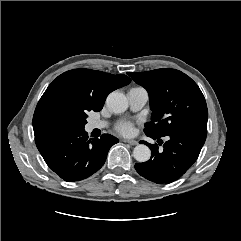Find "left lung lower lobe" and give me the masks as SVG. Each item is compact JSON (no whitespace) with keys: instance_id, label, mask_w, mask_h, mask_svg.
I'll list each match as a JSON object with an SVG mask.
<instances>
[{"instance_id":"1","label":"left lung lower lobe","mask_w":241,"mask_h":241,"mask_svg":"<svg viewBox=\"0 0 241 241\" xmlns=\"http://www.w3.org/2000/svg\"><path fill=\"white\" fill-rule=\"evenodd\" d=\"M146 135L152 139L160 138ZM206 135L205 128H192L169 134L162 152L158 151L157 145L147 143L151 150V158L147 162L135 164V169L142 177L158 184L176 181L197 160Z\"/></svg>"}]
</instances>
